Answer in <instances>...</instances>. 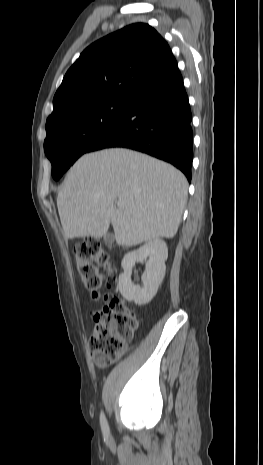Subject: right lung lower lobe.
Wrapping results in <instances>:
<instances>
[{"label":"right lung lower lobe","instance_id":"1","mask_svg":"<svg viewBox=\"0 0 263 465\" xmlns=\"http://www.w3.org/2000/svg\"><path fill=\"white\" fill-rule=\"evenodd\" d=\"M192 114L177 68L140 89L125 116L89 150L126 147L167 161L191 180Z\"/></svg>","mask_w":263,"mask_h":465}]
</instances>
